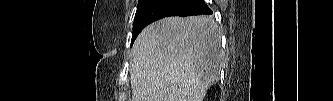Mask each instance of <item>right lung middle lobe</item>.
<instances>
[{
	"label": "right lung middle lobe",
	"instance_id": "right-lung-middle-lobe-1",
	"mask_svg": "<svg viewBox=\"0 0 333 101\" xmlns=\"http://www.w3.org/2000/svg\"><path fill=\"white\" fill-rule=\"evenodd\" d=\"M146 2V0H138V8L143 4V3H145ZM137 8V9H138Z\"/></svg>",
	"mask_w": 333,
	"mask_h": 101
}]
</instances>
